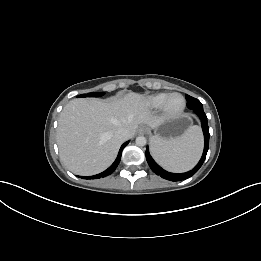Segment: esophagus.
Wrapping results in <instances>:
<instances>
[{
    "label": "esophagus",
    "instance_id": "1",
    "mask_svg": "<svg viewBox=\"0 0 261 261\" xmlns=\"http://www.w3.org/2000/svg\"><path fill=\"white\" fill-rule=\"evenodd\" d=\"M145 131H146V127H144V126L140 127V129H139L140 134L145 133Z\"/></svg>",
    "mask_w": 261,
    "mask_h": 261
}]
</instances>
